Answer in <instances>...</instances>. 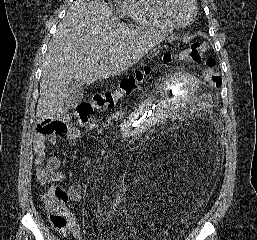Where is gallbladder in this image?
Here are the masks:
<instances>
[{"instance_id":"1","label":"gallbladder","mask_w":257,"mask_h":240,"mask_svg":"<svg viewBox=\"0 0 257 240\" xmlns=\"http://www.w3.org/2000/svg\"><path fill=\"white\" fill-rule=\"evenodd\" d=\"M83 85L76 80H72L68 87V95L65 99V107L68 109L76 108L83 99Z\"/></svg>"}]
</instances>
